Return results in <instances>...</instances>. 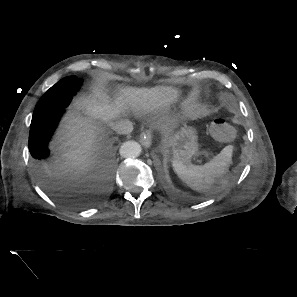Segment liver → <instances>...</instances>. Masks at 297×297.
<instances>
[{"label":"liver","instance_id":"liver-1","mask_svg":"<svg viewBox=\"0 0 297 297\" xmlns=\"http://www.w3.org/2000/svg\"><path fill=\"white\" fill-rule=\"evenodd\" d=\"M116 107L108 104L106 99L99 101L96 97L82 98L76 105L92 116L105 122L115 119L124 104L141 106L145 109L167 107L178 98V91L169 86L153 88H124ZM96 125L74 113L68 114L56 137V147L61 152L62 171L57 173L63 185L70 192H88L93 187L88 182L87 172L94 164Z\"/></svg>","mask_w":297,"mask_h":297}]
</instances>
